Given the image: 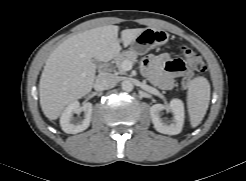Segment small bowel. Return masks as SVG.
<instances>
[{
  "instance_id": "1",
  "label": "small bowel",
  "mask_w": 246,
  "mask_h": 181,
  "mask_svg": "<svg viewBox=\"0 0 246 181\" xmlns=\"http://www.w3.org/2000/svg\"><path fill=\"white\" fill-rule=\"evenodd\" d=\"M143 72L163 89H170L174 78L188 72L185 63L171 58L169 53L150 54L142 61Z\"/></svg>"
}]
</instances>
